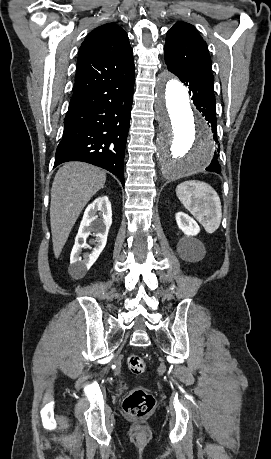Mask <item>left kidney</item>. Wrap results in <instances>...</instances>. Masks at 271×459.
<instances>
[{
  "mask_svg": "<svg viewBox=\"0 0 271 459\" xmlns=\"http://www.w3.org/2000/svg\"><path fill=\"white\" fill-rule=\"evenodd\" d=\"M176 222L178 224V228L182 229L186 235H195L197 231H199V226L196 224L193 218H190L188 214H184V212H178L176 214ZM179 245H183L185 251L188 253H192V251H196L197 247L193 243V237H182L179 241Z\"/></svg>",
  "mask_w": 271,
  "mask_h": 459,
  "instance_id": "obj_1",
  "label": "left kidney"
}]
</instances>
